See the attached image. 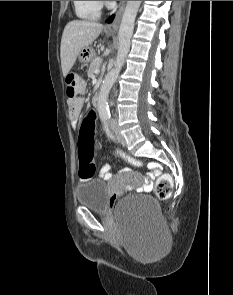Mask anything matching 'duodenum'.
<instances>
[{"instance_id":"1","label":"duodenum","mask_w":233,"mask_h":295,"mask_svg":"<svg viewBox=\"0 0 233 295\" xmlns=\"http://www.w3.org/2000/svg\"><path fill=\"white\" fill-rule=\"evenodd\" d=\"M99 99H100V96L99 94H95L92 98V105L94 108H97L98 105H99Z\"/></svg>"}]
</instances>
